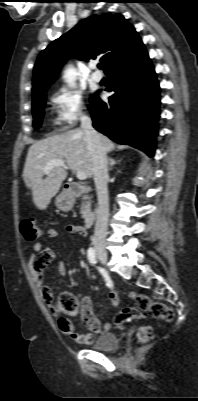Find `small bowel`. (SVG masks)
<instances>
[{
  "label": "small bowel",
  "mask_w": 198,
  "mask_h": 401,
  "mask_svg": "<svg viewBox=\"0 0 198 401\" xmlns=\"http://www.w3.org/2000/svg\"><path fill=\"white\" fill-rule=\"evenodd\" d=\"M66 231L71 235H78L86 237L87 231L78 225H68ZM50 238H56L60 235V231L57 228H50L47 231ZM55 252L50 248H43L40 242L35 243L33 251L29 256L28 268L31 272L32 278L40 291L41 297L46 301L50 302L52 299V291L45 285L47 274L46 270L48 266L54 261ZM56 273L58 277H62L66 273L65 264L61 261L56 264ZM109 299L114 307L119 304V295L115 290L109 291ZM81 317L85 325L92 331L90 333H78L75 331L74 325L65 318L58 320V326L62 334L73 337L78 343L82 345H89L95 334H101L107 327L103 325L101 321L95 316L93 312L92 301L89 297H82L80 300Z\"/></svg>",
  "instance_id": "c3829d8e"
}]
</instances>
